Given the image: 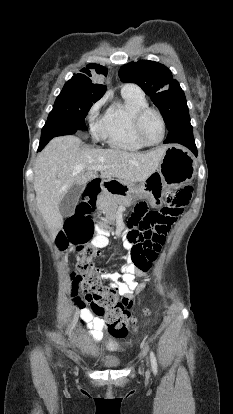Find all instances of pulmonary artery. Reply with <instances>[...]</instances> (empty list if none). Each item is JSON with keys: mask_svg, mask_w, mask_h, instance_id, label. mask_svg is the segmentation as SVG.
<instances>
[{"mask_svg": "<svg viewBox=\"0 0 233 414\" xmlns=\"http://www.w3.org/2000/svg\"><path fill=\"white\" fill-rule=\"evenodd\" d=\"M123 89H130V90L140 91V92H141V90L139 89V87H137V86H136V85H134V84H125V85L123 86Z\"/></svg>", "mask_w": 233, "mask_h": 414, "instance_id": "1", "label": "pulmonary artery"}]
</instances>
